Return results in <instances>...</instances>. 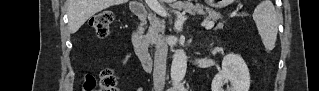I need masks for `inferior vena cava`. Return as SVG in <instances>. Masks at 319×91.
Instances as JSON below:
<instances>
[{"label":"inferior vena cava","mask_w":319,"mask_h":91,"mask_svg":"<svg viewBox=\"0 0 319 91\" xmlns=\"http://www.w3.org/2000/svg\"><path fill=\"white\" fill-rule=\"evenodd\" d=\"M168 46L164 37L156 41L154 54L153 82L155 91H162L165 85Z\"/></svg>","instance_id":"obj_1"}]
</instances>
